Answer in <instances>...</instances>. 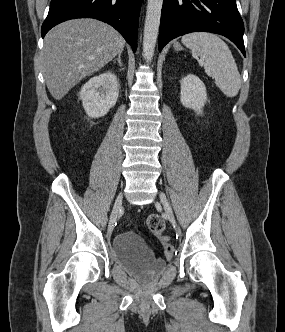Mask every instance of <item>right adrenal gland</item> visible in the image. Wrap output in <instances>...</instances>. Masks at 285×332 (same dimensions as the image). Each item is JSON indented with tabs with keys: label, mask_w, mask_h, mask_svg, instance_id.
I'll use <instances>...</instances> for the list:
<instances>
[{
	"label": "right adrenal gland",
	"mask_w": 285,
	"mask_h": 332,
	"mask_svg": "<svg viewBox=\"0 0 285 332\" xmlns=\"http://www.w3.org/2000/svg\"><path fill=\"white\" fill-rule=\"evenodd\" d=\"M114 61H117L120 66H123V64L121 62V53L118 55V57Z\"/></svg>",
	"instance_id": "2a0ac1e0"
}]
</instances>
